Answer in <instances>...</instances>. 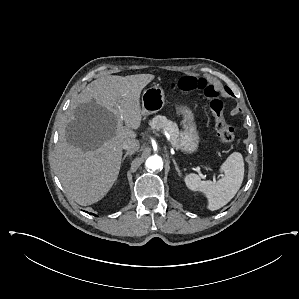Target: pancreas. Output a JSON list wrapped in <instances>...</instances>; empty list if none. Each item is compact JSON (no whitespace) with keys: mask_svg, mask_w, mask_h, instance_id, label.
<instances>
[{"mask_svg":"<svg viewBox=\"0 0 299 299\" xmlns=\"http://www.w3.org/2000/svg\"><path fill=\"white\" fill-rule=\"evenodd\" d=\"M149 124L152 129H162L164 132H167L170 136L172 146L179 148L180 132L175 122L168 120L165 116L158 115L155 116Z\"/></svg>","mask_w":299,"mask_h":299,"instance_id":"pancreas-1","label":"pancreas"}]
</instances>
